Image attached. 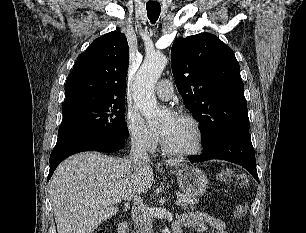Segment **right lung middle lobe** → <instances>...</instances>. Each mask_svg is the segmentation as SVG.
Wrapping results in <instances>:
<instances>
[{
    "instance_id": "1",
    "label": "right lung middle lobe",
    "mask_w": 306,
    "mask_h": 233,
    "mask_svg": "<svg viewBox=\"0 0 306 233\" xmlns=\"http://www.w3.org/2000/svg\"><path fill=\"white\" fill-rule=\"evenodd\" d=\"M124 100L80 98L64 102L55 147L84 137L127 139Z\"/></svg>"
}]
</instances>
